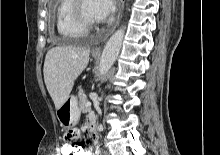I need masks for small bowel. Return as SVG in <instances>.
I'll return each instance as SVG.
<instances>
[{"instance_id":"1","label":"small bowel","mask_w":220,"mask_h":155,"mask_svg":"<svg viewBox=\"0 0 220 155\" xmlns=\"http://www.w3.org/2000/svg\"><path fill=\"white\" fill-rule=\"evenodd\" d=\"M94 120V116L90 115L88 117V123ZM80 130H76V126H64L63 130V141H79ZM64 146H73V145H64ZM62 153V151H61ZM81 155H90L88 150L82 149Z\"/></svg>"}]
</instances>
